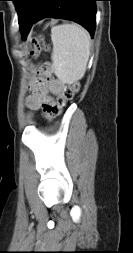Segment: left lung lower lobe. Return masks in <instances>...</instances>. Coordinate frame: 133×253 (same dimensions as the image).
I'll return each mask as SVG.
<instances>
[{"instance_id": "left-lung-lower-lobe-1", "label": "left lung lower lobe", "mask_w": 133, "mask_h": 253, "mask_svg": "<svg viewBox=\"0 0 133 253\" xmlns=\"http://www.w3.org/2000/svg\"><path fill=\"white\" fill-rule=\"evenodd\" d=\"M96 1L99 0H24L18 11L23 39H26L32 25L45 17L75 21L85 27L93 37L96 27Z\"/></svg>"}]
</instances>
